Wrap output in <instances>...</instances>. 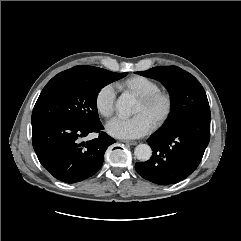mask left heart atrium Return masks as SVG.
<instances>
[{
	"instance_id": "1",
	"label": "left heart atrium",
	"mask_w": 241,
	"mask_h": 241,
	"mask_svg": "<svg viewBox=\"0 0 241 241\" xmlns=\"http://www.w3.org/2000/svg\"><path fill=\"white\" fill-rule=\"evenodd\" d=\"M152 129V123L143 113L132 118L116 117L107 126V132L121 139H134L146 135Z\"/></svg>"
}]
</instances>
